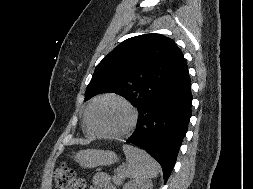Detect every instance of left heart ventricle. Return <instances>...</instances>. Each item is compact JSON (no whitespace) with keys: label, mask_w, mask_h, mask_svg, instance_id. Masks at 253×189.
<instances>
[{"label":"left heart ventricle","mask_w":253,"mask_h":189,"mask_svg":"<svg viewBox=\"0 0 253 189\" xmlns=\"http://www.w3.org/2000/svg\"><path fill=\"white\" fill-rule=\"evenodd\" d=\"M92 121L101 132H119L129 124L130 112L122 103L107 99L93 108Z\"/></svg>","instance_id":"1"}]
</instances>
